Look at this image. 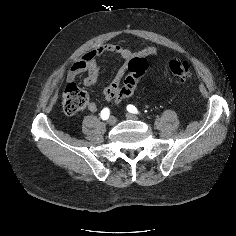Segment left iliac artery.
<instances>
[{
    "mask_svg": "<svg viewBox=\"0 0 236 236\" xmlns=\"http://www.w3.org/2000/svg\"><path fill=\"white\" fill-rule=\"evenodd\" d=\"M127 110H128L130 113L139 114L137 108H136L134 105L129 104V105L127 106Z\"/></svg>",
    "mask_w": 236,
    "mask_h": 236,
    "instance_id": "1",
    "label": "left iliac artery"
}]
</instances>
